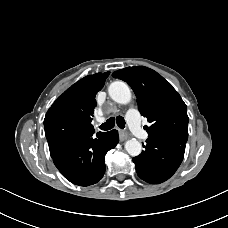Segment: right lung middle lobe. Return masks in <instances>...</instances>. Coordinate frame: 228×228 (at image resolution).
Segmentation results:
<instances>
[{"label": "right lung middle lobe", "mask_w": 228, "mask_h": 228, "mask_svg": "<svg viewBox=\"0 0 228 228\" xmlns=\"http://www.w3.org/2000/svg\"><path fill=\"white\" fill-rule=\"evenodd\" d=\"M44 128L49 146L57 145L78 133L76 123L70 119L51 123Z\"/></svg>", "instance_id": "right-lung-middle-lobe-1"}]
</instances>
